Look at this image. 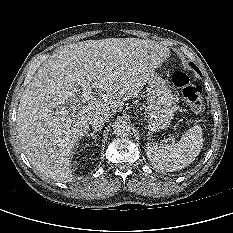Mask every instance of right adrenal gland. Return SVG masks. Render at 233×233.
Listing matches in <instances>:
<instances>
[{
  "label": "right adrenal gland",
  "mask_w": 233,
  "mask_h": 233,
  "mask_svg": "<svg viewBox=\"0 0 233 233\" xmlns=\"http://www.w3.org/2000/svg\"><path fill=\"white\" fill-rule=\"evenodd\" d=\"M101 129H102V127L96 128L93 132L88 133V134H87V137H92L94 140H96L97 137H96L95 134H96L98 131H100Z\"/></svg>",
  "instance_id": "2a0ac1e0"
}]
</instances>
